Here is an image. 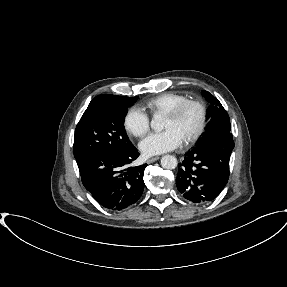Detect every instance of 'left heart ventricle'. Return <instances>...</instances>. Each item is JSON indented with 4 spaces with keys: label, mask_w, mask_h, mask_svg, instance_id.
<instances>
[{
    "label": "left heart ventricle",
    "mask_w": 287,
    "mask_h": 287,
    "mask_svg": "<svg viewBox=\"0 0 287 287\" xmlns=\"http://www.w3.org/2000/svg\"><path fill=\"white\" fill-rule=\"evenodd\" d=\"M198 123V111L194 107H188L178 118L172 119L168 116L164 117L163 128H174L186 139L195 129Z\"/></svg>",
    "instance_id": "obj_1"
}]
</instances>
